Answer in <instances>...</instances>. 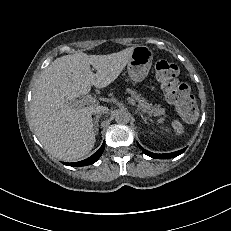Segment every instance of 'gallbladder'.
I'll list each match as a JSON object with an SVG mask.
<instances>
[{"instance_id": "gallbladder-1", "label": "gallbladder", "mask_w": 231, "mask_h": 231, "mask_svg": "<svg viewBox=\"0 0 231 231\" xmlns=\"http://www.w3.org/2000/svg\"><path fill=\"white\" fill-rule=\"evenodd\" d=\"M66 76H68L70 82H71V86L75 85V79H73V77L70 74H67Z\"/></svg>"}]
</instances>
